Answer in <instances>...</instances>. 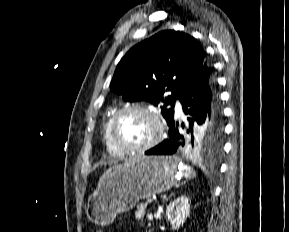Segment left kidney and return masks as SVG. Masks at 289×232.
<instances>
[{"instance_id":"obj_1","label":"left kidney","mask_w":289,"mask_h":232,"mask_svg":"<svg viewBox=\"0 0 289 232\" xmlns=\"http://www.w3.org/2000/svg\"><path fill=\"white\" fill-rule=\"evenodd\" d=\"M190 203L186 195H182L172 201L166 208V216L173 230H177L189 216Z\"/></svg>"}]
</instances>
